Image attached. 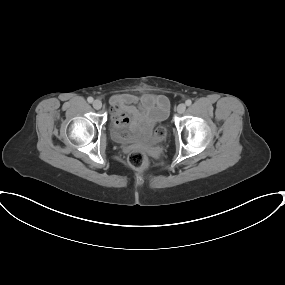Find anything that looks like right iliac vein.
Returning <instances> with one entry per match:
<instances>
[{
    "mask_svg": "<svg viewBox=\"0 0 285 285\" xmlns=\"http://www.w3.org/2000/svg\"><path fill=\"white\" fill-rule=\"evenodd\" d=\"M93 107H94L96 110L101 109V107H102V102H101L99 99H96V100L93 102Z\"/></svg>",
    "mask_w": 285,
    "mask_h": 285,
    "instance_id": "1",
    "label": "right iliac vein"
}]
</instances>
